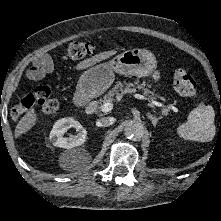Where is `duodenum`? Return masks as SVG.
Wrapping results in <instances>:
<instances>
[{
    "mask_svg": "<svg viewBox=\"0 0 221 221\" xmlns=\"http://www.w3.org/2000/svg\"><path fill=\"white\" fill-rule=\"evenodd\" d=\"M76 102L78 105L83 106L85 113L88 115H92L96 108H97V103L94 100H89L87 96L84 95H78L76 98Z\"/></svg>",
    "mask_w": 221,
    "mask_h": 221,
    "instance_id": "410a0bca",
    "label": "duodenum"
}]
</instances>
